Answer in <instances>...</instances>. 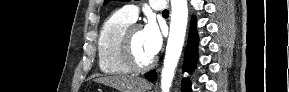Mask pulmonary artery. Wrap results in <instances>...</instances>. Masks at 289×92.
<instances>
[{"instance_id":"obj_1","label":"pulmonary artery","mask_w":289,"mask_h":92,"mask_svg":"<svg viewBox=\"0 0 289 92\" xmlns=\"http://www.w3.org/2000/svg\"><path fill=\"white\" fill-rule=\"evenodd\" d=\"M150 6L151 8L157 11H163L166 8L165 1H162V0H152L150 1ZM120 11L127 18H129L132 21H135L139 13V8L136 5L130 4V5L124 6Z\"/></svg>"}]
</instances>
